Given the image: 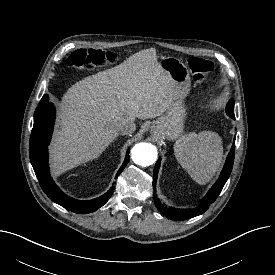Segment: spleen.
<instances>
[{
	"label": "spleen",
	"mask_w": 275,
	"mask_h": 275,
	"mask_svg": "<svg viewBox=\"0 0 275 275\" xmlns=\"http://www.w3.org/2000/svg\"><path fill=\"white\" fill-rule=\"evenodd\" d=\"M175 156L199 184H206L218 171L223 159L220 136L211 131L189 133L176 141Z\"/></svg>",
	"instance_id": "1"
}]
</instances>
